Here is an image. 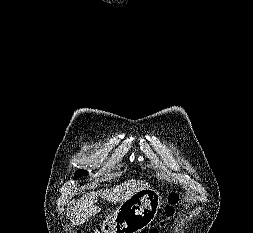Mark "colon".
<instances>
[{
  "label": "colon",
  "mask_w": 253,
  "mask_h": 233,
  "mask_svg": "<svg viewBox=\"0 0 253 233\" xmlns=\"http://www.w3.org/2000/svg\"><path fill=\"white\" fill-rule=\"evenodd\" d=\"M180 204V197L177 192H172L169 195V205L166 208V216L167 218H170L175 215L176 213V207ZM167 223V220H163L161 222V226H165ZM148 233H159L158 228H152Z\"/></svg>",
  "instance_id": "obj_1"
}]
</instances>
